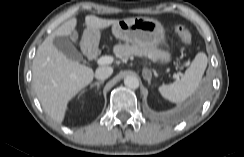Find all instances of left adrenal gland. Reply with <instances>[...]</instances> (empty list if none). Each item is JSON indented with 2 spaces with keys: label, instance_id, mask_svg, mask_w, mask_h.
Here are the masks:
<instances>
[{
  "label": "left adrenal gland",
  "instance_id": "1",
  "mask_svg": "<svg viewBox=\"0 0 244 157\" xmlns=\"http://www.w3.org/2000/svg\"><path fill=\"white\" fill-rule=\"evenodd\" d=\"M144 73H145V77L144 78L148 81V84H151V72H150V70L145 69Z\"/></svg>",
  "mask_w": 244,
  "mask_h": 157
}]
</instances>
